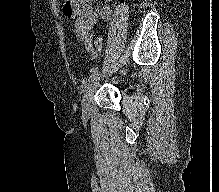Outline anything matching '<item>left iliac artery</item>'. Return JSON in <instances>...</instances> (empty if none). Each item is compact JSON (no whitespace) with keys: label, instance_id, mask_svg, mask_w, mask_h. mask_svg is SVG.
Instances as JSON below:
<instances>
[{"label":"left iliac artery","instance_id":"left-iliac-artery-1","mask_svg":"<svg viewBox=\"0 0 219 192\" xmlns=\"http://www.w3.org/2000/svg\"><path fill=\"white\" fill-rule=\"evenodd\" d=\"M99 75H100V71H95L94 73H92L88 78V80L84 81L83 83L84 87L86 88L87 84L92 83Z\"/></svg>","mask_w":219,"mask_h":192}]
</instances>
